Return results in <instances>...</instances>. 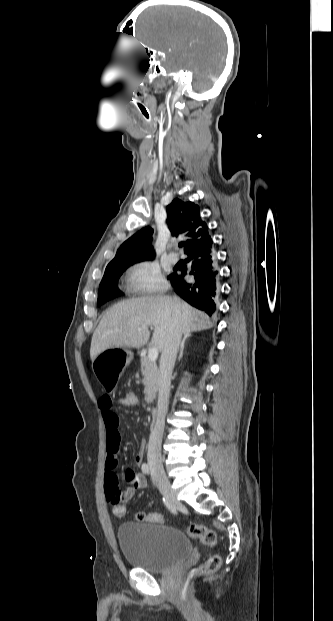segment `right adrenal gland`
Returning <instances> with one entry per match:
<instances>
[{
  "mask_svg": "<svg viewBox=\"0 0 333 621\" xmlns=\"http://www.w3.org/2000/svg\"><path fill=\"white\" fill-rule=\"evenodd\" d=\"M188 337H189L188 335H184V337L182 339V342H181V345H180V350H179L178 361H180L182 356H183V351H184V348H185V342H186Z\"/></svg>",
  "mask_w": 333,
  "mask_h": 621,
  "instance_id": "1",
  "label": "right adrenal gland"
}]
</instances>
